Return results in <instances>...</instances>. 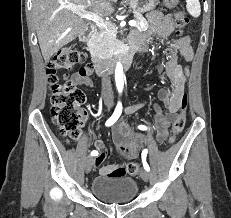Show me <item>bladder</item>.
Masks as SVG:
<instances>
[{"label": "bladder", "instance_id": "obj_1", "mask_svg": "<svg viewBox=\"0 0 231 218\" xmlns=\"http://www.w3.org/2000/svg\"><path fill=\"white\" fill-rule=\"evenodd\" d=\"M96 198L107 203H126L132 201L138 191L137 182L128 176H97L91 184Z\"/></svg>", "mask_w": 231, "mask_h": 218}]
</instances>
